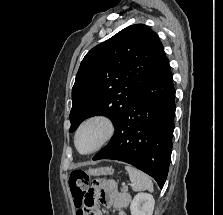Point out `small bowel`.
Here are the masks:
<instances>
[{"instance_id": "c3829d8e", "label": "small bowel", "mask_w": 223, "mask_h": 215, "mask_svg": "<svg viewBox=\"0 0 223 215\" xmlns=\"http://www.w3.org/2000/svg\"><path fill=\"white\" fill-rule=\"evenodd\" d=\"M131 197L126 192H120L111 180H94L86 190L84 202L93 206L92 215H100L97 204H103L115 209V215H126L124 209L129 205ZM77 215H83L78 214Z\"/></svg>"}]
</instances>
